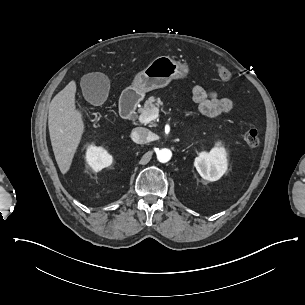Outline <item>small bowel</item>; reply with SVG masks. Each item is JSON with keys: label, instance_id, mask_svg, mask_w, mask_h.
I'll return each mask as SVG.
<instances>
[{"label": "small bowel", "instance_id": "obj_1", "mask_svg": "<svg viewBox=\"0 0 305 305\" xmlns=\"http://www.w3.org/2000/svg\"><path fill=\"white\" fill-rule=\"evenodd\" d=\"M192 100L198 105L200 112L208 117L228 113L234 108V102L203 86H195L192 90Z\"/></svg>", "mask_w": 305, "mask_h": 305}]
</instances>
